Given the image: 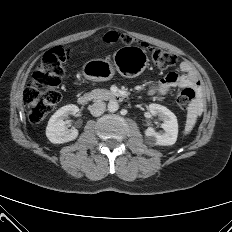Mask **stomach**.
<instances>
[{"label": "stomach", "instance_id": "obj_1", "mask_svg": "<svg viewBox=\"0 0 232 232\" xmlns=\"http://www.w3.org/2000/svg\"><path fill=\"white\" fill-rule=\"evenodd\" d=\"M149 62L144 49L137 46L119 48L113 56V62L106 59H93L83 66V76L90 81L110 80L115 70L125 77H135L141 74Z\"/></svg>", "mask_w": 232, "mask_h": 232}]
</instances>
